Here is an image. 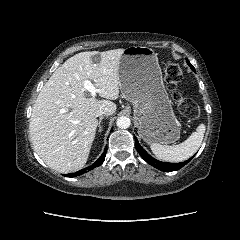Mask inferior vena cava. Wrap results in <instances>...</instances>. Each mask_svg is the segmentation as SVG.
I'll use <instances>...</instances> for the list:
<instances>
[{"instance_id": "inferior-vena-cava-1", "label": "inferior vena cava", "mask_w": 240, "mask_h": 240, "mask_svg": "<svg viewBox=\"0 0 240 240\" xmlns=\"http://www.w3.org/2000/svg\"><path fill=\"white\" fill-rule=\"evenodd\" d=\"M97 116H103V115H109V112L107 110H100L96 114Z\"/></svg>"}]
</instances>
